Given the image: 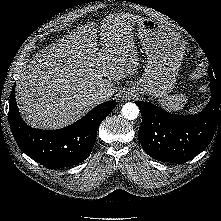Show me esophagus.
Masks as SVG:
<instances>
[{
  "label": "esophagus",
  "instance_id": "1",
  "mask_svg": "<svg viewBox=\"0 0 221 221\" xmlns=\"http://www.w3.org/2000/svg\"><path fill=\"white\" fill-rule=\"evenodd\" d=\"M131 96H132V94H131ZM131 96H128V98H131Z\"/></svg>",
  "mask_w": 221,
  "mask_h": 221
}]
</instances>
